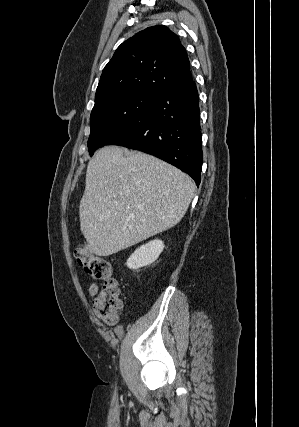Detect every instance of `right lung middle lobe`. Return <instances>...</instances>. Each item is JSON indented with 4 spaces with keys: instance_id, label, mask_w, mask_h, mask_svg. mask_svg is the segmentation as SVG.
<instances>
[{
    "instance_id": "right-lung-middle-lobe-1",
    "label": "right lung middle lobe",
    "mask_w": 299,
    "mask_h": 427,
    "mask_svg": "<svg viewBox=\"0 0 299 427\" xmlns=\"http://www.w3.org/2000/svg\"><path fill=\"white\" fill-rule=\"evenodd\" d=\"M154 98L136 93H119L95 102L90 116L89 154L126 130Z\"/></svg>"
}]
</instances>
